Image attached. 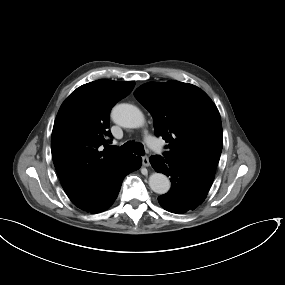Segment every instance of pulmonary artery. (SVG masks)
I'll return each instance as SVG.
<instances>
[{"label":"pulmonary artery","mask_w":285,"mask_h":285,"mask_svg":"<svg viewBox=\"0 0 285 285\" xmlns=\"http://www.w3.org/2000/svg\"><path fill=\"white\" fill-rule=\"evenodd\" d=\"M145 141L149 144V145H154V139L150 136H145Z\"/></svg>","instance_id":"obj_1"}]
</instances>
